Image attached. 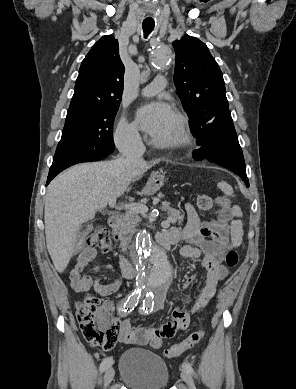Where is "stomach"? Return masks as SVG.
Segmentation results:
<instances>
[{"label": "stomach", "mask_w": 296, "mask_h": 389, "mask_svg": "<svg viewBox=\"0 0 296 389\" xmlns=\"http://www.w3.org/2000/svg\"><path fill=\"white\" fill-rule=\"evenodd\" d=\"M165 178V171L163 169H156L154 171V178H150L147 182V185L144 189V193L151 194L155 191H157L161 184L164 182Z\"/></svg>", "instance_id": "stomach-1"}]
</instances>
